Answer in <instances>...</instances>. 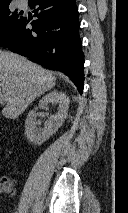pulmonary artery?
<instances>
[{
  "label": "pulmonary artery",
  "mask_w": 128,
  "mask_h": 213,
  "mask_svg": "<svg viewBox=\"0 0 128 213\" xmlns=\"http://www.w3.org/2000/svg\"><path fill=\"white\" fill-rule=\"evenodd\" d=\"M18 6L22 9L27 7V0H18Z\"/></svg>",
  "instance_id": "1"
}]
</instances>
